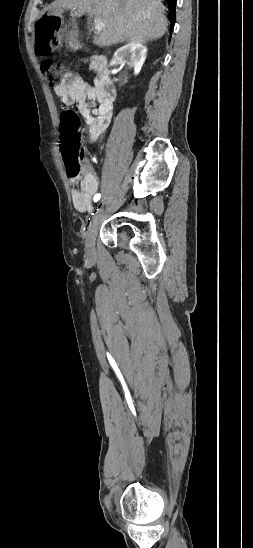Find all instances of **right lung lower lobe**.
<instances>
[{"label": "right lung lower lobe", "mask_w": 253, "mask_h": 548, "mask_svg": "<svg viewBox=\"0 0 253 548\" xmlns=\"http://www.w3.org/2000/svg\"><path fill=\"white\" fill-rule=\"evenodd\" d=\"M168 5L171 7V9L173 10V14H172V17H171V20H172V23L174 25L175 23V7H176V1L177 0H166Z\"/></svg>", "instance_id": "1"}]
</instances>
